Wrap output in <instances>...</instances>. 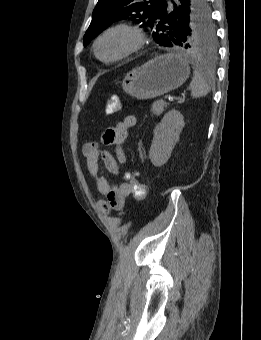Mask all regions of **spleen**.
<instances>
[{
	"label": "spleen",
	"instance_id": "1",
	"mask_svg": "<svg viewBox=\"0 0 261 340\" xmlns=\"http://www.w3.org/2000/svg\"><path fill=\"white\" fill-rule=\"evenodd\" d=\"M211 79L209 73L201 67H194V76L190 84L191 95L194 98L206 96L211 90Z\"/></svg>",
	"mask_w": 261,
	"mask_h": 340
}]
</instances>
